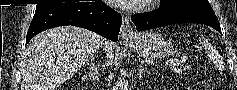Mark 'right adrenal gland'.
Listing matches in <instances>:
<instances>
[{
	"instance_id": "1",
	"label": "right adrenal gland",
	"mask_w": 237,
	"mask_h": 90,
	"mask_svg": "<svg viewBox=\"0 0 237 90\" xmlns=\"http://www.w3.org/2000/svg\"><path fill=\"white\" fill-rule=\"evenodd\" d=\"M94 60H91L90 62V72L88 74V76H83V80H89V82H95L96 78H97V74H98V70H97V66H94L93 64Z\"/></svg>"
}]
</instances>
